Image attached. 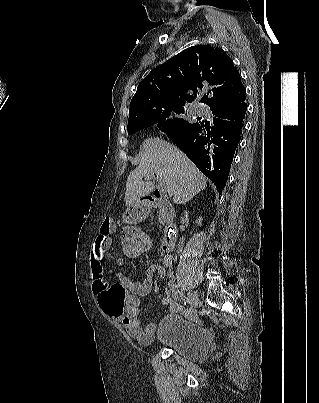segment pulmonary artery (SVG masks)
Instances as JSON below:
<instances>
[{
  "mask_svg": "<svg viewBox=\"0 0 319 403\" xmlns=\"http://www.w3.org/2000/svg\"><path fill=\"white\" fill-rule=\"evenodd\" d=\"M197 112L202 114V115H206L208 112L207 107L203 106V105H198L197 106Z\"/></svg>",
  "mask_w": 319,
  "mask_h": 403,
  "instance_id": "obj_1",
  "label": "pulmonary artery"
}]
</instances>
